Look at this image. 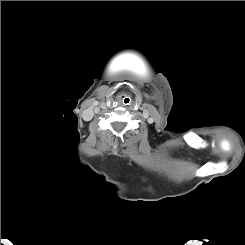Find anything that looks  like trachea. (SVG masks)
Masks as SVG:
<instances>
[{"instance_id":"3493384b","label":"trachea","mask_w":245,"mask_h":245,"mask_svg":"<svg viewBox=\"0 0 245 245\" xmlns=\"http://www.w3.org/2000/svg\"><path fill=\"white\" fill-rule=\"evenodd\" d=\"M122 103H123V105H126V106L129 105L131 103V98L128 96L123 97Z\"/></svg>"}]
</instances>
